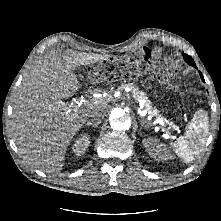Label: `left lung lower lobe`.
Listing matches in <instances>:
<instances>
[{
    "label": "left lung lower lobe",
    "instance_id": "obj_1",
    "mask_svg": "<svg viewBox=\"0 0 221 221\" xmlns=\"http://www.w3.org/2000/svg\"><path fill=\"white\" fill-rule=\"evenodd\" d=\"M183 55H185V54H183ZM200 76H201L202 80L204 81V78H203V76H202V74H201V73H200Z\"/></svg>",
    "mask_w": 221,
    "mask_h": 221
}]
</instances>
